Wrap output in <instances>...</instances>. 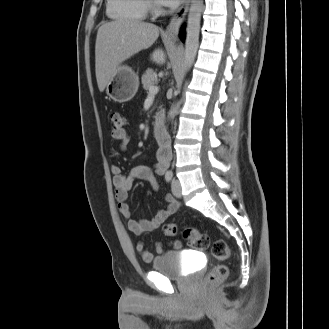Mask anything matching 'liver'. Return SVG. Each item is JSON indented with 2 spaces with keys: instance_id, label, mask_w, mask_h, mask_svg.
I'll list each match as a JSON object with an SVG mask.
<instances>
[{
  "instance_id": "obj_1",
  "label": "liver",
  "mask_w": 329,
  "mask_h": 329,
  "mask_svg": "<svg viewBox=\"0 0 329 329\" xmlns=\"http://www.w3.org/2000/svg\"><path fill=\"white\" fill-rule=\"evenodd\" d=\"M158 36L159 28L156 25L138 20L120 19L101 25L95 44V72L99 91H104L122 62L151 47ZM151 60L163 65L166 54L158 48L153 51Z\"/></svg>"
}]
</instances>
